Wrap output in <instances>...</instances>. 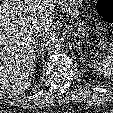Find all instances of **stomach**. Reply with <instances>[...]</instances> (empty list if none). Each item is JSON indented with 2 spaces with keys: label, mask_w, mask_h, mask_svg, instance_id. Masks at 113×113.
<instances>
[{
  "label": "stomach",
  "mask_w": 113,
  "mask_h": 113,
  "mask_svg": "<svg viewBox=\"0 0 113 113\" xmlns=\"http://www.w3.org/2000/svg\"><path fill=\"white\" fill-rule=\"evenodd\" d=\"M83 0H59V3L65 13L72 18L78 15L79 9L82 7ZM80 26L81 23H78Z\"/></svg>",
  "instance_id": "obj_1"
}]
</instances>
